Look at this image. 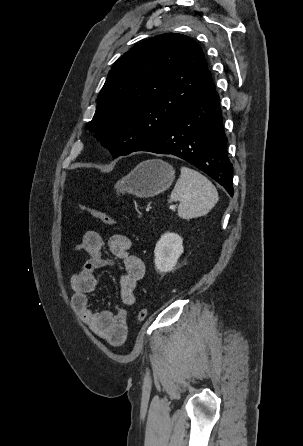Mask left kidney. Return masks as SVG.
<instances>
[{"label": "left kidney", "mask_w": 303, "mask_h": 446, "mask_svg": "<svg viewBox=\"0 0 303 446\" xmlns=\"http://www.w3.org/2000/svg\"><path fill=\"white\" fill-rule=\"evenodd\" d=\"M183 239L175 233H165L157 242L154 255L155 266L161 273L173 271L183 253Z\"/></svg>", "instance_id": "left-kidney-1"}]
</instances>
